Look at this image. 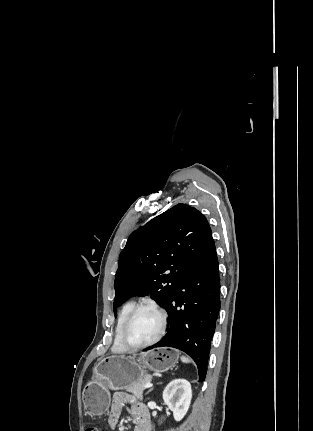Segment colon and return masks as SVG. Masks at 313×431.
<instances>
[{"instance_id": "obj_1", "label": "colon", "mask_w": 313, "mask_h": 431, "mask_svg": "<svg viewBox=\"0 0 313 431\" xmlns=\"http://www.w3.org/2000/svg\"><path fill=\"white\" fill-rule=\"evenodd\" d=\"M86 431H100L98 428L95 427H90L88 429H86Z\"/></svg>"}]
</instances>
